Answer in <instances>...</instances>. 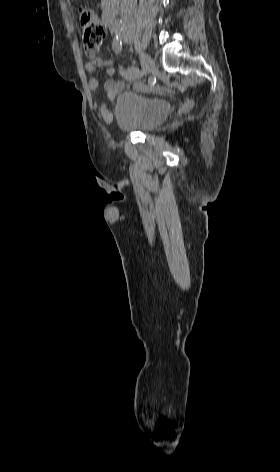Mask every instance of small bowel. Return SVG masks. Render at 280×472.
<instances>
[{"label":"small bowel","instance_id":"1","mask_svg":"<svg viewBox=\"0 0 280 472\" xmlns=\"http://www.w3.org/2000/svg\"><path fill=\"white\" fill-rule=\"evenodd\" d=\"M104 68L108 76H113L115 74L114 63L111 59H106L102 57H96L84 64V69L87 73H94L96 69ZM121 75L124 78V81L120 80H108L105 82L104 88L109 100H114L117 94L128 86L129 83H134L136 79L129 73V71L122 69ZM99 86V82L95 77H91L88 81V87L91 91H96ZM101 117L108 121L111 117V112L105 104L100 107Z\"/></svg>","mask_w":280,"mask_h":472}]
</instances>
